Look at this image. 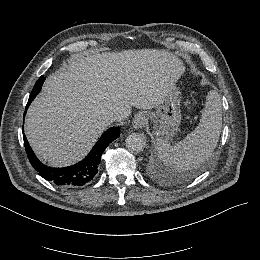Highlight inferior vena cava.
Returning <instances> with one entry per match:
<instances>
[{
	"label": "inferior vena cava",
	"mask_w": 260,
	"mask_h": 260,
	"mask_svg": "<svg viewBox=\"0 0 260 260\" xmlns=\"http://www.w3.org/2000/svg\"><path fill=\"white\" fill-rule=\"evenodd\" d=\"M119 120V116L118 114H115L113 112H108L105 116H104V124L106 126H109L112 122L114 121H118Z\"/></svg>",
	"instance_id": "obj_1"
}]
</instances>
